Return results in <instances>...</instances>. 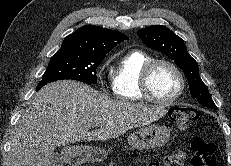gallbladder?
<instances>
[{
  "mask_svg": "<svg viewBox=\"0 0 231 166\" xmlns=\"http://www.w3.org/2000/svg\"><path fill=\"white\" fill-rule=\"evenodd\" d=\"M47 166H62L61 158L58 154L53 155Z\"/></svg>",
  "mask_w": 231,
  "mask_h": 166,
  "instance_id": "bac80fb5",
  "label": "gallbladder"
}]
</instances>
